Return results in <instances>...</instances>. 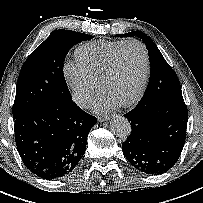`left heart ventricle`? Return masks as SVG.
<instances>
[{
    "label": "left heart ventricle",
    "mask_w": 203,
    "mask_h": 203,
    "mask_svg": "<svg viewBox=\"0 0 203 203\" xmlns=\"http://www.w3.org/2000/svg\"><path fill=\"white\" fill-rule=\"evenodd\" d=\"M144 73V56L137 45L126 46L116 68L104 84L102 92L120 103L126 102L137 92Z\"/></svg>",
    "instance_id": "left-heart-ventricle-1"
}]
</instances>
